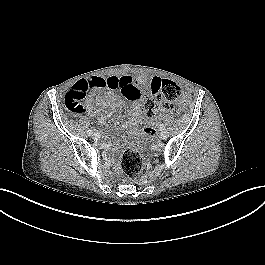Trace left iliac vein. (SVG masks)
I'll use <instances>...</instances> for the list:
<instances>
[{"label":"left iliac vein","mask_w":265,"mask_h":265,"mask_svg":"<svg viewBox=\"0 0 265 265\" xmlns=\"http://www.w3.org/2000/svg\"><path fill=\"white\" fill-rule=\"evenodd\" d=\"M160 138L161 139H167L168 138V131H166V130H162L161 132H160Z\"/></svg>","instance_id":"left-iliac-vein-1"}]
</instances>
